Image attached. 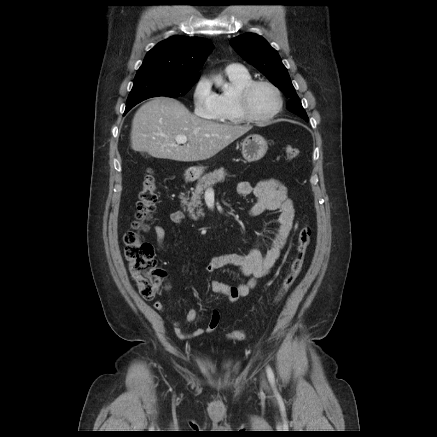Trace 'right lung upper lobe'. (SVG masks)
I'll list each match as a JSON object with an SVG mask.
<instances>
[{
	"label": "right lung upper lobe",
	"mask_w": 437,
	"mask_h": 437,
	"mask_svg": "<svg viewBox=\"0 0 437 437\" xmlns=\"http://www.w3.org/2000/svg\"><path fill=\"white\" fill-rule=\"evenodd\" d=\"M213 48L200 37L173 36L152 48L138 72L158 69L180 77H199V69Z\"/></svg>",
	"instance_id": "obj_1"
}]
</instances>
